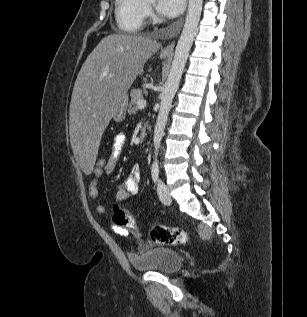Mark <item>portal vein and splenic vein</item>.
Wrapping results in <instances>:
<instances>
[{"label":"portal vein and splenic vein","mask_w":307,"mask_h":317,"mask_svg":"<svg viewBox=\"0 0 307 317\" xmlns=\"http://www.w3.org/2000/svg\"><path fill=\"white\" fill-rule=\"evenodd\" d=\"M137 107H138L139 109L145 108V107H146V100H144V99L138 100V102H137Z\"/></svg>","instance_id":"portal-vein-and-splenic-vein-1"}]
</instances>
